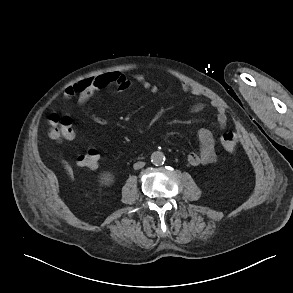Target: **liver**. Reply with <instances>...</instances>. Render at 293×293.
Returning a JSON list of instances; mask_svg holds the SVG:
<instances>
[{
	"label": "liver",
	"instance_id": "6515ba94",
	"mask_svg": "<svg viewBox=\"0 0 293 293\" xmlns=\"http://www.w3.org/2000/svg\"><path fill=\"white\" fill-rule=\"evenodd\" d=\"M67 169H68L69 174H70L71 176H73V171H72L71 167L67 166Z\"/></svg>",
	"mask_w": 293,
	"mask_h": 293
}]
</instances>
